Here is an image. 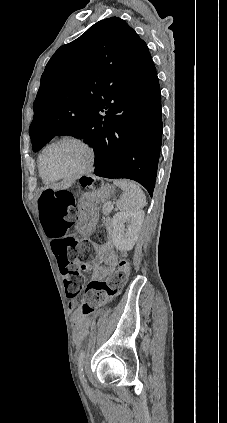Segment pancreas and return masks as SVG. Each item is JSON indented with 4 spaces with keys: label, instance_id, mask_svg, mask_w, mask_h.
<instances>
[{
    "label": "pancreas",
    "instance_id": "pancreas-1",
    "mask_svg": "<svg viewBox=\"0 0 227 423\" xmlns=\"http://www.w3.org/2000/svg\"><path fill=\"white\" fill-rule=\"evenodd\" d=\"M103 210L102 213H104V215H107V213H110V210H108V206H102Z\"/></svg>",
    "mask_w": 227,
    "mask_h": 423
}]
</instances>
